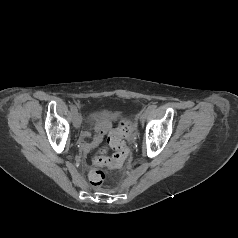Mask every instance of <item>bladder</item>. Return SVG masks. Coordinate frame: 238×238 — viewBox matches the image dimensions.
Instances as JSON below:
<instances>
[{"mask_svg": "<svg viewBox=\"0 0 238 238\" xmlns=\"http://www.w3.org/2000/svg\"><path fill=\"white\" fill-rule=\"evenodd\" d=\"M98 115H106L110 121H115L119 118V113H113L110 111H102L100 113H97Z\"/></svg>", "mask_w": 238, "mask_h": 238, "instance_id": "31cf9c89", "label": "bladder"}]
</instances>
